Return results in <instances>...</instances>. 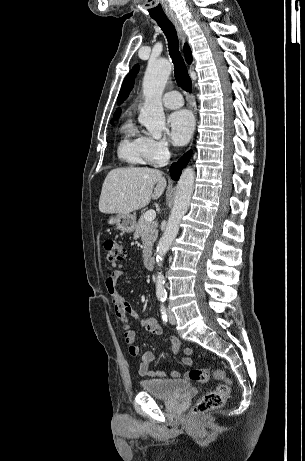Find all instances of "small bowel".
<instances>
[{
	"instance_id": "c3829d8e",
	"label": "small bowel",
	"mask_w": 305,
	"mask_h": 461,
	"mask_svg": "<svg viewBox=\"0 0 305 461\" xmlns=\"http://www.w3.org/2000/svg\"><path fill=\"white\" fill-rule=\"evenodd\" d=\"M124 274L121 270L113 271L105 280V287L114 306V312L124 328V339L128 345V351L130 355L137 356L139 354V348L136 344V332L133 329L134 324H138L145 328L148 332L153 334H159L161 328L155 318L144 317L140 318L138 313L135 311L133 306L124 299V297L118 291V280ZM170 350L172 354H178L181 349V342L177 337L171 336L169 338ZM193 353V348L187 347L183 350L182 363L186 366H192L194 364L193 359L190 355ZM156 355L152 351L145 352L141 357V362L138 367V372L142 377H162L165 372L162 370L150 369V363L153 362ZM176 376V373H173Z\"/></svg>"
}]
</instances>
